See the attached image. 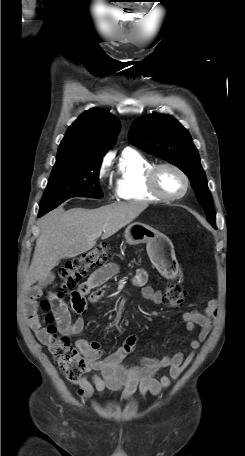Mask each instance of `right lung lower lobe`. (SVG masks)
<instances>
[{
  "label": "right lung lower lobe",
  "instance_id": "98d812e1",
  "mask_svg": "<svg viewBox=\"0 0 245 456\" xmlns=\"http://www.w3.org/2000/svg\"><path fill=\"white\" fill-rule=\"evenodd\" d=\"M42 215H44V214H41V213H39V215H38V216L40 217V216H42Z\"/></svg>",
  "mask_w": 245,
  "mask_h": 456
}]
</instances>
